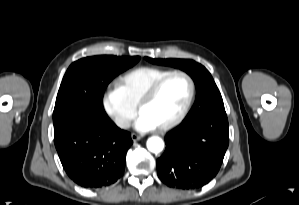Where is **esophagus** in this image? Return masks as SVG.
I'll list each match as a JSON object with an SVG mask.
<instances>
[{
    "instance_id": "1",
    "label": "esophagus",
    "mask_w": 299,
    "mask_h": 205,
    "mask_svg": "<svg viewBox=\"0 0 299 205\" xmlns=\"http://www.w3.org/2000/svg\"><path fill=\"white\" fill-rule=\"evenodd\" d=\"M131 138H132L133 141H138V140L141 139V136L136 134V133H132Z\"/></svg>"
}]
</instances>
